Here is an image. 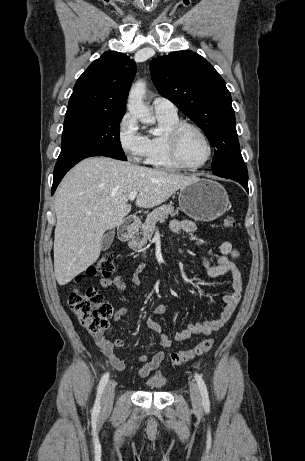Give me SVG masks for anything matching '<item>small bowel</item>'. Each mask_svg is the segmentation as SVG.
Masks as SVG:
<instances>
[{"mask_svg":"<svg viewBox=\"0 0 305 461\" xmlns=\"http://www.w3.org/2000/svg\"><path fill=\"white\" fill-rule=\"evenodd\" d=\"M171 231L173 233H193L196 230L194 222L187 219H174L170 224ZM220 256L216 264H210L205 258H201V265L208 278H216L223 275L231 276V288L232 290L223 296L224 307L217 318L207 320L204 322H192L187 325L186 328L178 331L175 335L177 341H183L189 339L192 335H209L214 331L222 328L231 318L232 314L236 310L243 292L242 285V273L236 265V260L239 257L238 249L228 241H223L219 245ZM144 266L140 265L132 276L134 283H139L142 277ZM100 286L103 289H108L114 286L118 291L126 290V283L121 276L114 278H103L100 281ZM167 306L164 304L158 305L153 314L147 318V327L149 330L158 336L159 345L163 349H167L172 346V340L163 332L160 324L155 320L154 315L165 313ZM127 313L125 307L119 308L113 316L114 321H118ZM96 345L105 355L109 364L117 370H125L127 365L120 359L115 353L114 348H121L124 342L117 338L113 342L107 339L102 333L94 336ZM165 358L163 350L158 351L150 360L147 355H142L139 358V362L142 366L138 369L137 373L140 377H147L152 371L157 369L161 362Z\"/></svg>","mask_w":305,"mask_h":461,"instance_id":"1","label":"small bowel"}]
</instances>
